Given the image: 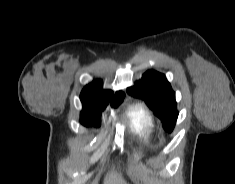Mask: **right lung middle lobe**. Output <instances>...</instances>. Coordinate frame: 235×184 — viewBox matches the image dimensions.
<instances>
[{"label":"right lung middle lobe","mask_w":235,"mask_h":184,"mask_svg":"<svg viewBox=\"0 0 235 184\" xmlns=\"http://www.w3.org/2000/svg\"><path fill=\"white\" fill-rule=\"evenodd\" d=\"M120 104V103H119ZM119 104L112 105L117 107ZM106 106L102 107H88L83 105V110L81 111L80 122L84 126H100V116L102 111Z\"/></svg>","instance_id":"right-lung-middle-lobe-1"}]
</instances>
